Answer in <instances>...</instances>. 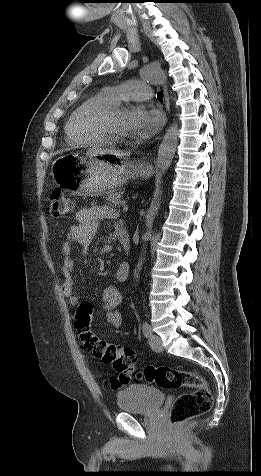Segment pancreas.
Returning <instances> with one entry per match:
<instances>
[{
	"label": "pancreas",
	"instance_id": "1",
	"mask_svg": "<svg viewBox=\"0 0 261 476\" xmlns=\"http://www.w3.org/2000/svg\"><path fill=\"white\" fill-rule=\"evenodd\" d=\"M106 200L108 202H110L111 205H113L114 207H120V206H123L124 202L122 199H121V193L120 192H115V193H109L107 195V198Z\"/></svg>",
	"mask_w": 261,
	"mask_h": 476
}]
</instances>
